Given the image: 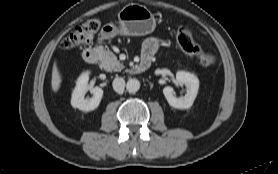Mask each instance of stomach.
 <instances>
[{
    "mask_svg": "<svg viewBox=\"0 0 278 174\" xmlns=\"http://www.w3.org/2000/svg\"><path fill=\"white\" fill-rule=\"evenodd\" d=\"M119 26L105 25L101 30L103 39H110L116 35L144 36L152 33L156 27L154 15L143 5L128 4L118 14Z\"/></svg>",
    "mask_w": 278,
    "mask_h": 174,
    "instance_id": "stomach-1",
    "label": "stomach"
}]
</instances>
